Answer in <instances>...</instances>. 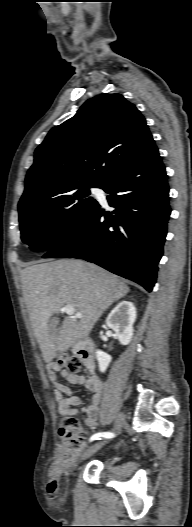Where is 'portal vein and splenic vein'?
<instances>
[{
    "instance_id": "portal-vein-and-splenic-vein-1",
    "label": "portal vein and splenic vein",
    "mask_w": 192,
    "mask_h": 527,
    "mask_svg": "<svg viewBox=\"0 0 192 527\" xmlns=\"http://www.w3.org/2000/svg\"><path fill=\"white\" fill-rule=\"evenodd\" d=\"M63 311H64L67 315L74 316V317H76V318H82V314L76 312L75 309L73 308V306H71V305H65V306L63 307Z\"/></svg>"
}]
</instances>
